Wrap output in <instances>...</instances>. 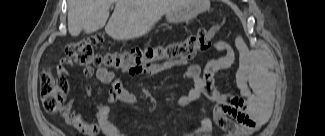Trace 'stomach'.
I'll use <instances>...</instances> for the list:
<instances>
[{
  "label": "stomach",
  "mask_w": 325,
  "mask_h": 136,
  "mask_svg": "<svg viewBox=\"0 0 325 136\" xmlns=\"http://www.w3.org/2000/svg\"><path fill=\"white\" fill-rule=\"evenodd\" d=\"M207 8H209L208 0H188V3L180 10L167 13L166 18L170 23H180L191 19Z\"/></svg>",
  "instance_id": "1"
}]
</instances>
